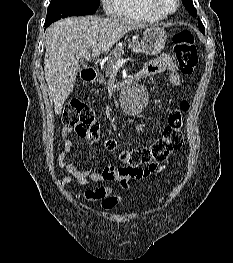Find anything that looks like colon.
<instances>
[{
    "instance_id": "colon-1",
    "label": "colon",
    "mask_w": 233,
    "mask_h": 263,
    "mask_svg": "<svg viewBox=\"0 0 233 263\" xmlns=\"http://www.w3.org/2000/svg\"><path fill=\"white\" fill-rule=\"evenodd\" d=\"M173 48L180 71L185 75H191L198 63L193 34L188 30L178 31L173 37ZM189 108L187 101H181L179 107L169 113L167 125L157 140L149 146L122 152L120 160L123 165L119 167L120 172L137 177L141 175L142 166L156 169L158 165L166 163L172 153L183 145V114ZM62 123L72 129L77 136L89 142L102 140L108 150L116 149V142L105 137L93 110L81 100L73 99L65 106Z\"/></svg>"
}]
</instances>
